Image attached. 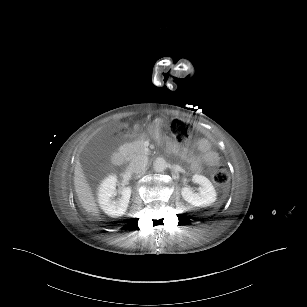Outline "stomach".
<instances>
[{
  "instance_id": "obj_1",
  "label": "stomach",
  "mask_w": 307,
  "mask_h": 307,
  "mask_svg": "<svg viewBox=\"0 0 307 307\" xmlns=\"http://www.w3.org/2000/svg\"><path fill=\"white\" fill-rule=\"evenodd\" d=\"M154 123H151L153 125ZM140 127L138 125L135 126V129L138 130Z\"/></svg>"
}]
</instances>
